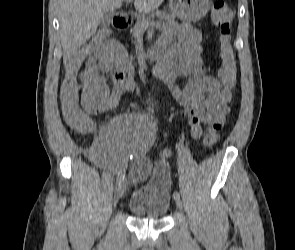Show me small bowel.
<instances>
[{
    "label": "small bowel",
    "mask_w": 295,
    "mask_h": 250,
    "mask_svg": "<svg viewBox=\"0 0 295 250\" xmlns=\"http://www.w3.org/2000/svg\"><path fill=\"white\" fill-rule=\"evenodd\" d=\"M201 33L188 25H175L164 31L157 47L165 51L163 60L154 72L183 107L191 135L200 139L204 126L224 125L230 112L232 90L227 89L203 66ZM126 61L124 50L116 40L107 41L102 52L87 54L79 51L66 66V77L79 78L82 84L81 100L86 107L99 112L115 108L126 93L133 91L134 81L120 73ZM184 79L185 83L180 84ZM216 134L215 142L218 141ZM155 139V127L136 115L116 119L101 134L100 147L106 160L123 164L129 157V180L140 182L149 174L151 161L147 152ZM165 150L161 157H169Z\"/></svg>",
    "instance_id": "obj_1"
}]
</instances>
